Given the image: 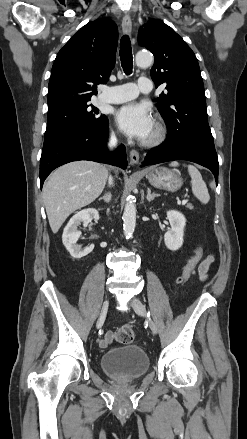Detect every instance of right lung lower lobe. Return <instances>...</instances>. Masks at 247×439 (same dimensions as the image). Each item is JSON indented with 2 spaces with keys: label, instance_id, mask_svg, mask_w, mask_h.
Returning <instances> with one entry per match:
<instances>
[{
  "label": "right lung lower lobe",
  "instance_id": "right-lung-lower-lobe-1",
  "mask_svg": "<svg viewBox=\"0 0 247 439\" xmlns=\"http://www.w3.org/2000/svg\"><path fill=\"white\" fill-rule=\"evenodd\" d=\"M109 131L108 120L96 129L77 130L59 134L44 140L40 159V187L57 167L71 161L91 160L119 166H127L125 146L121 145L113 153L106 148Z\"/></svg>",
  "mask_w": 247,
  "mask_h": 439
}]
</instances>
